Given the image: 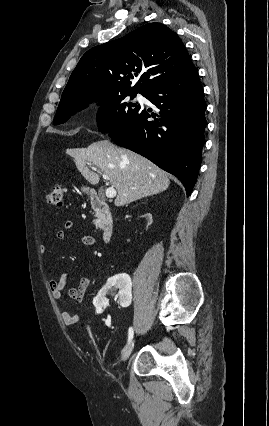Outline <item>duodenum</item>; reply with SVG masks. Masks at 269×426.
Returning a JSON list of instances; mask_svg holds the SVG:
<instances>
[{"label": "duodenum", "instance_id": "obj_1", "mask_svg": "<svg viewBox=\"0 0 269 426\" xmlns=\"http://www.w3.org/2000/svg\"><path fill=\"white\" fill-rule=\"evenodd\" d=\"M89 201L95 213L96 224L101 230L104 240H110L114 233V221L104 196L99 192L91 191Z\"/></svg>", "mask_w": 269, "mask_h": 426}]
</instances>
